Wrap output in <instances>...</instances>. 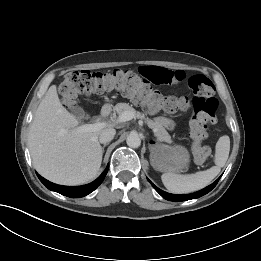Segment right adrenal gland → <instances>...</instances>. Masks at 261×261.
<instances>
[{
	"mask_svg": "<svg viewBox=\"0 0 261 261\" xmlns=\"http://www.w3.org/2000/svg\"><path fill=\"white\" fill-rule=\"evenodd\" d=\"M108 144H104L102 147V151L104 152V148L107 146Z\"/></svg>",
	"mask_w": 261,
	"mask_h": 261,
	"instance_id": "2a0ac1e0",
	"label": "right adrenal gland"
}]
</instances>
